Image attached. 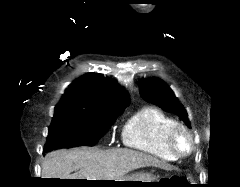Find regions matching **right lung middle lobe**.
Listing matches in <instances>:
<instances>
[{"instance_id": "dd1d6c3e", "label": "right lung middle lobe", "mask_w": 240, "mask_h": 187, "mask_svg": "<svg viewBox=\"0 0 240 187\" xmlns=\"http://www.w3.org/2000/svg\"><path fill=\"white\" fill-rule=\"evenodd\" d=\"M122 111L92 112L55 108L43 152L80 145L94 146Z\"/></svg>"}]
</instances>
